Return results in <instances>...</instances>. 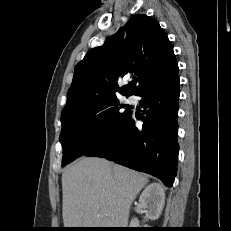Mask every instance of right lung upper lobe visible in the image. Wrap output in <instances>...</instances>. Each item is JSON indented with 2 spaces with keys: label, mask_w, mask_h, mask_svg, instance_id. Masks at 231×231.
Here are the masks:
<instances>
[{
  "label": "right lung upper lobe",
  "mask_w": 231,
  "mask_h": 231,
  "mask_svg": "<svg viewBox=\"0 0 231 231\" xmlns=\"http://www.w3.org/2000/svg\"><path fill=\"white\" fill-rule=\"evenodd\" d=\"M122 30L76 65L62 115L117 99L116 92L137 94L152 83L177 76L173 46L155 19L134 15L126 24L125 39ZM128 73L136 75L138 86L132 81L119 88L118 80Z\"/></svg>",
  "instance_id": "obj_1"
}]
</instances>
